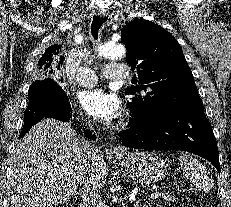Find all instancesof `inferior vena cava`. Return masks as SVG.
<instances>
[{"instance_id":"602c4592","label":"inferior vena cava","mask_w":231,"mask_h":207,"mask_svg":"<svg viewBox=\"0 0 231 207\" xmlns=\"http://www.w3.org/2000/svg\"><path fill=\"white\" fill-rule=\"evenodd\" d=\"M88 126L90 129L93 128L90 121H88ZM81 143L86 157V165L79 180L82 207H102L96 182V171L98 165L102 162V156L99 149L84 137L81 139Z\"/></svg>"}]
</instances>
